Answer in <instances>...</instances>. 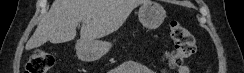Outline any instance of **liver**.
<instances>
[{
    "instance_id": "6515ba94",
    "label": "liver",
    "mask_w": 244,
    "mask_h": 73,
    "mask_svg": "<svg viewBox=\"0 0 244 73\" xmlns=\"http://www.w3.org/2000/svg\"><path fill=\"white\" fill-rule=\"evenodd\" d=\"M147 0H54L49 13L38 24L26 50L47 41L64 43L76 37L81 22V41H92L117 31L132 10Z\"/></svg>"
}]
</instances>
